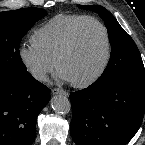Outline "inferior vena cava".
Returning <instances> with one entry per match:
<instances>
[{
	"label": "inferior vena cava",
	"mask_w": 145,
	"mask_h": 145,
	"mask_svg": "<svg viewBox=\"0 0 145 145\" xmlns=\"http://www.w3.org/2000/svg\"><path fill=\"white\" fill-rule=\"evenodd\" d=\"M33 76L37 79H40V80H46V75L43 71H40V70H34L32 72Z\"/></svg>",
	"instance_id": "1"
}]
</instances>
